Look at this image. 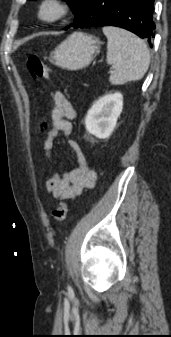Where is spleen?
<instances>
[{"label":"spleen","mask_w":171,"mask_h":337,"mask_svg":"<svg viewBox=\"0 0 171 337\" xmlns=\"http://www.w3.org/2000/svg\"><path fill=\"white\" fill-rule=\"evenodd\" d=\"M107 64L114 67L109 81L122 85L143 78L150 64L149 49L144 40L124 29L106 26Z\"/></svg>","instance_id":"spleen-1"}]
</instances>
